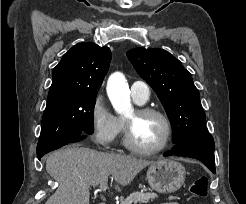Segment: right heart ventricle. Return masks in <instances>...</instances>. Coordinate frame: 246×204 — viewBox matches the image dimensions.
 <instances>
[{
    "mask_svg": "<svg viewBox=\"0 0 246 204\" xmlns=\"http://www.w3.org/2000/svg\"><path fill=\"white\" fill-rule=\"evenodd\" d=\"M119 122H120L119 133H122L124 131V119L123 118H119Z\"/></svg>",
    "mask_w": 246,
    "mask_h": 204,
    "instance_id": "obj_1",
    "label": "right heart ventricle"
}]
</instances>
